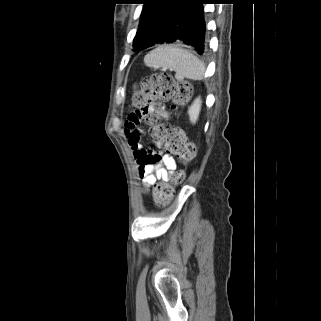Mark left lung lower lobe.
Segmentation results:
<instances>
[{
	"label": "left lung lower lobe",
	"instance_id": "0a47b994",
	"mask_svg": "<svg viewBox=\"0 0 321 321\" xmlns=\"http://www.w3.org/2000/svg\"><path fill=\"white\" fill-rule=\"evenodd\" d=\"M209 0H179L165 27L163 43L185 44L198 54L207 50L203 4Z\"/></svg>",
	"mask_w": 321,
	"mask_h": 321
}]
</instances>
